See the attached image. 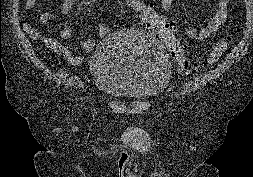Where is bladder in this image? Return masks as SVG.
I'll list each match as a JSON object with an SVG mask.
<instances>
[{
    "label": "bladder",
    "instance_id": "bladder-1",
    "mask_svg": "<svg viewBox=\"0 0 253 177\" xmlns=\"http://www.w3.org/2000/svg\"><path fill=\"white\" fill-rule=\"evenodd\" d=\"M90 70L102 92L123 100H143L162 92L171 65L158 42L146 34L125 30L100 43Z\"/></svg>",
    "mask_w": 253,
    "mask_h": 177
}]
</instances>
